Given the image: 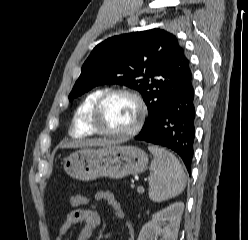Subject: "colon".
I'll return each instance as SVG.
<instances>
[{
	"label": "colon",
	"mask_w": 248,
	"mask_h": 240,
	"mask_svg": "<svg viewBox=\"0 0 248 240\" xmlns=\"http://www.w3.org/2000/svg\"><path fill=\"white\" fill-rule=\"evenodd\" d=\"M87 202H88V198L83 194H75L71 196L69 199V205L73 210L84 207L87 204Z\"/></svg>",
	"instance_id": "5ec220e1"
}]
</instances>
